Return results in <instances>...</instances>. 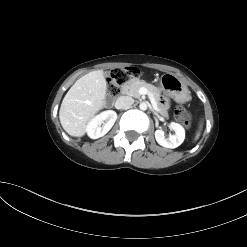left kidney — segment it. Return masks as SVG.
Returning a JSON list of instances; mask_svg holds the SVG:
<instances>
[{
    "mask_svg": "<svg viewBox=\"0 0 247 247\" xmlns=\"http://www.w3.org/2000/svg\"><path fill=\"white\" fill-rule=\"evenodd\" d=\"M169 127L175 131L174 135L170 134L168 139H166L164 136V131L156 130L155 138L159 145L173 149L183 143L185 139V129L180 124L175 122H171Z\"/></svg>",
    "mask_w": 247,
    "mask_h": 247,
    "instance_id": "left-kidney-1",
    "label": "left kidney"
}]
</instances>
